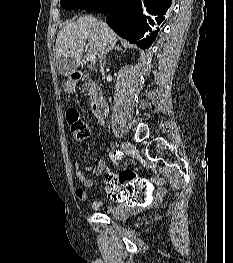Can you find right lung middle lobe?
Returning <instances> with one entry per match:
<instances>
[{
  "instance_id": "1",
  "label": "right lung middle lobe",
  "mask_w": 233,
  "mask_h": 263,
  "mask_svg": "<svg viewBox=\"0 0 233 263\" xmlns=\"http://www.w3.org/2000/svg\"><path fill=\"white\" fill-rule=\"evenodd\" d=\"M101 2L102 0H60V4L66 10L85 9L93 11Z\"/></svg>"
}]
</instances>
